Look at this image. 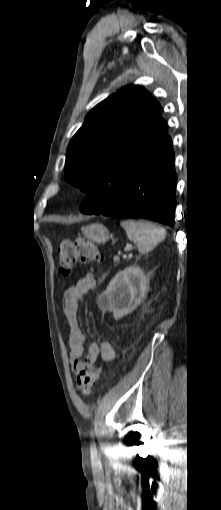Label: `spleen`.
<instances>
[{
  "label": "spleen",
  "mask_w": 221,
  "mask_h": 510,
  "mask_svg": "<svg viewBox=\"0 0 221 510\" xmlns=\"http://www.w3.org/2000/svg\"><path fill=\"white\" fill-rule=\"evenodd\" d=\"M120 225L140 253L152 251L166 236L164 228L148 221L128 219L122 221Z\"/></svg>",
  "instance_id": "spleen-1"
}]
</instances>
